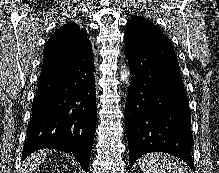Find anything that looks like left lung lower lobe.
<instances>
[{"label":"left lung lower lobe","instance_id":"obj_1","mask_svg":"<svg viewBox=\"0 0 219 173\" xmlns=\"http://www.w3.org/2000/svg\"><path fill=\"white\" fill-rule=\"evenodd\" d=\"M124 41L132 72L125 104L130 167L143 154L166 152L194 170L189 100L171 43Z\"/></svg>","mask_w":219,"mask_h":173}]
</instances>
